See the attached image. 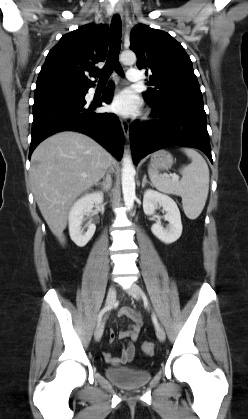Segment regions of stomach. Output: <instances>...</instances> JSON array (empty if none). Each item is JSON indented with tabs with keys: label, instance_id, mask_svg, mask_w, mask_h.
Returning <instances> with one entry per match:
<instances>
[{
	"label": "stomach",
	"instance_id": "stomach-1",
	"mask_svg": "<svg viewBox=\"0 0 248 419\" xmlns=\"http://www.w3.org/2000/svg\"><path fill=\"white\" fill-rule=\"evenodd\" d=\"M172 164L173 157L169 152L165 150H159L155 152L151 157V165L154 168L167 169L170 168Z\"/></svg>",
	"mask_w": 248,
	"mask_h": 419
}]
</instances>
